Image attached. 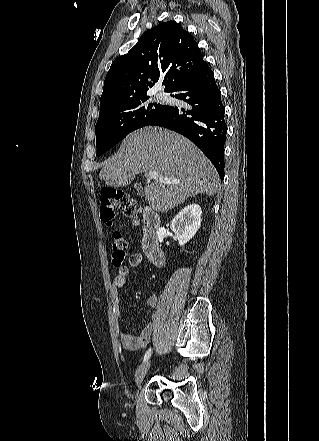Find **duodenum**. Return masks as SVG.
<instances>
[{
  "mask_svg": "<svg viewBox=\"0 0 319 441\" xmlns=\"http://www.w3.org/2000/svg\"><path fill=\"white\" fill-rule=\"evenodd\" d=\"M143 214V250L148 260L156 265L165 263V253L160 245L159 230L161 227L159 215L149 206H145Z\"/></svg>",
  "mask_w": 319,
  "mask_h": 441,
  "instance_id": "obj_1",
  "label": "duodenum"
}]
</instances>
